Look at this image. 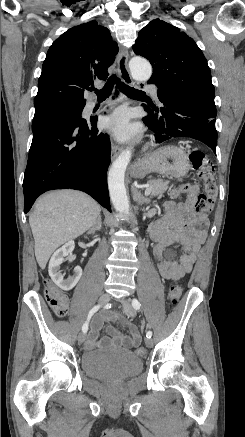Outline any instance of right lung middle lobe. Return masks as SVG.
<instances>
[{
	"instance_id": "dd1d6c3e",
	"label": "right lung middle lobe",
	"mask_w": 245,
	"mask_h": 437,
	"mask_svg": "<svg viewBox=\"0 0 245 437\" xmlns=\"http://www.w3.org/2000/svg\"><path fill=\"white\" fill-rule=\"evenodd\" d=\"M83 108L84 105L60 103L35 109L32 131L37 130L48 121L54 119H68L74 117L79 122H85L81 117Z\"/></svg>"
}]
</instances>
